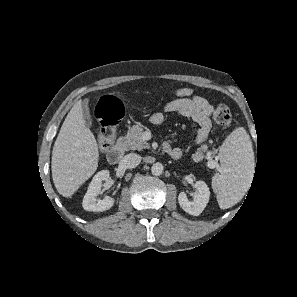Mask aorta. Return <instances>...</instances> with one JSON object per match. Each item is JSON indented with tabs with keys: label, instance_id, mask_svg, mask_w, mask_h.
I'll list each match as a JSON object with an SVG mask.
<instances>
[{
	"label": "aorta",
	"instance_id": "obj_1",
	"mask_svg": "<svg viewBox=\"0 0 297 297\" xmlns=\"http://www.w3.org/2000/svg\"><path fill=\"white\" fill-rule=\"evenodd\" d=\"M163 170H164V166L162 163H154L151 167V172L153 175L155 176H159L163 173Z\"/></svg>",
	"mask_w": 297,
	"mask_h": 297
}]
</instances>
